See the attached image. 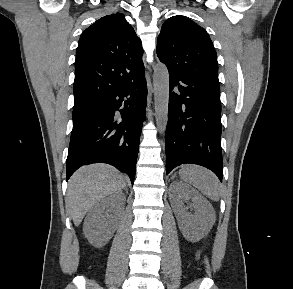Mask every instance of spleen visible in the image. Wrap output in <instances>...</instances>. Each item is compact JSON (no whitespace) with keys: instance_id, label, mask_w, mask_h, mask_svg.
Here are the masks:
<instances>
[{"instance_id":"spleen-1","label":"spleen","mask_w":293,"mask_h":289,"mask_svg":"<svg viewBox=\"0 0 293 289\" xmlns=\"http://www.w3.org/2000/svg\"><path fill=\"white\" fill-rule=\"evenodd\" d=\"M179 176L183 181L200 190L210 200H219L220 183L210 170L197 165H185L179 170Z\"/></svg>"}]
</instances>
